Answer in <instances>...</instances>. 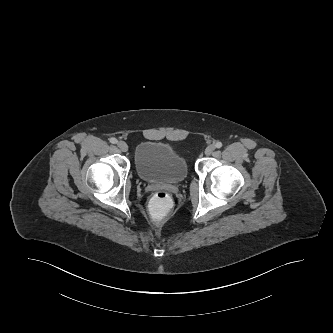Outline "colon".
Masks as SVG:
<instances>
[{"instance_id":"1","label":"colon","mask_w":333,"mask_h":333,"mask_svg":"<svg viewBox=\"0 0 333 333\" xmlns=\"http://www.w3.org/2000/svg\"><path fill=\"white\" fill-rule=\"evenodd\" d=\"M176 202L172 195L165 191H158L154 194L149 203L147 211L154 225L162 227L169 223Z\"/></svg>"}]
</instances>
